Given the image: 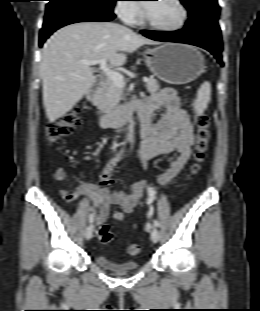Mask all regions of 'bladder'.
<instances>
[{"label": "bladder", "instance_id": "1", "mask_svg": "<svg viewBox=\"0 0 260 311\" xmlns=\"http://www.w3.org/2000/svg\"><path fill=\"white\" fill-rule=\"evenodd\" d=\"M94 261L106 270L113 272L132 271L139 268V262L136 260L113 262L103 251H97L94 254Z\"/></svg>", "mask_w": 260, "mask_h": 311}]
</instances>
